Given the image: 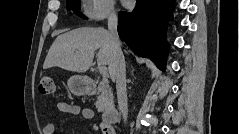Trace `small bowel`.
<instances>
[{"label":"small bowel","mask_w":239,"mask_h":134,"mask_svg":"<svg viewBox=\"0 0 239 134\" xmlns=\"http://www.w3.org/2000/svg\"><path fill=\"white\" fill-rule=\"evenodd\" d=\"M56 109L62 113H69L72 115L80 114L84 119H92L94 116V111L88 106H79L76 104L57 102ZM56 126L53 123L47 124L44 128V134H55Z\"/></svg>","instance_id":"obj_1"}]
</instances>
